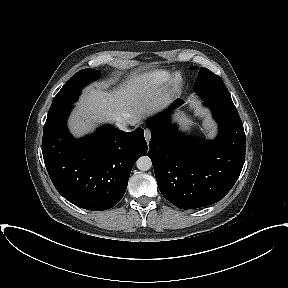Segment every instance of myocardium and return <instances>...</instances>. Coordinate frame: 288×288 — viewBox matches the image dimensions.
I'll use <instances>...</instances> for the list:
<instances>
[{"instance_id":"f54148a6","label":"myocardium","mask_w":288,"mask_h":288,"mask_svg":"<svg viewBox=\"0 0 288 288\" xmlns=\"http://www.w3.org/2000/svg\"><path fill=\"white\" fill-rule=\"evenodd\" d=\"M182 76L180 73H175L171 76L170 80H169V84H170V87L172 89H178L181 84H182Z\"/></svg>"}]
</instances>
